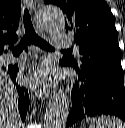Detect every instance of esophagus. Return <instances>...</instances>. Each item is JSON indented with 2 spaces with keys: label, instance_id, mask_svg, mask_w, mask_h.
I'll list each match as a JSON object with an SVG mask.
<instances>
[{
  "label": "esophagus",
  "instance_id": "obj_1",
  "mask_svg": "<svg viewBox=\"0 0 125 128\" xmlns=\"http://www.w3.org/2000/svg\"><path fill=\"white\" fill-rule=\"evenodd\" d=\"M26 2L28 4L29 9L31 11H34L35 1L34 0H27ZM37 93H38V97L41 98L42 100H46L49 97V90L48 89H44V90L37 89Z\"/></svg>",
  "mask_w": 125,
  "mask_h": 128
}]
</instances>
